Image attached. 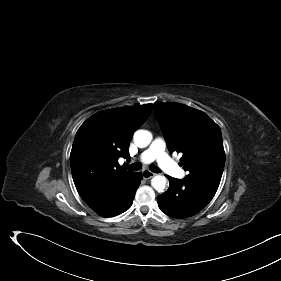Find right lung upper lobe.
<instances>
[{"label": "right lung upper lobe", "instance_id": "right-lung-upper-lobe-1", "mask_svg": "<svg viewBox=\"0 0 281 281\" xmlns=\"http://www.w3.org/2000/svg\"><path fill=\"white\" fill-rule=\"evenodd\" d=\"M152 104L98 112L77 131L70 154L75 186L95 212L115 209L133 182L135 172L118 167L120 157L130 158L133 133L147 120Z\"/></svg>", "mask_w": 281, "mask_h": 281}]
</instances>
